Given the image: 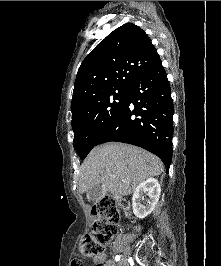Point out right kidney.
I'll return each mask as SVG.
<instances>
[{
    "mask_svg": "<svg viewBox=\"0 0 221 266\" xmlns=\"http://www.w3.org/2000/svg\"><path fill=\"white\" fill-rule=\"evenodd\" d=\"M161 193L160 184L155 178H148L140 183L132 197L133 212L139 219L145 218L155 208ZM145 195L149 198L144 200ZM144 202V204H142Z\"/></svg>",
    "mask_w": 221,
    "mask_h": 266,
    "instance_id": "ca27d5eb",
    "label": "right kidney"
}]
</instances>
